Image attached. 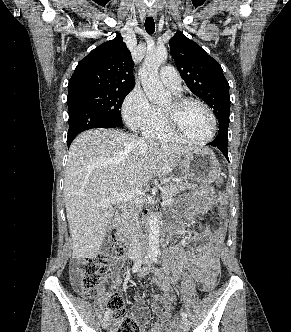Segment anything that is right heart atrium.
<instances>
[{
	"instance_id": "obj_1",
	"label": "right heart atrium",
	"mask_w": 291,
	"mask_h": 332,
	"mask_svg": "<svg viewBox=\"0 0 291 332\" xmlns=\"http://www.w3.org/2000/svg\"><path fill=\"white\" fill-rule=\"evenodd\" d=\"M122 115L127 126L140 133L152 129L158 122L156 109L139 88H134L125 98Z\"/></svg>"
}]
</instances>
